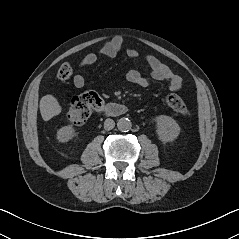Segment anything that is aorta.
Masks as SVG:
<instances>
[{
  "label": "aorta",
  "mask_w": 239,
  "mask_h": 239,
  "mask_svg": "<svg viewBox=\"0 0 239 239\" xmlns=\"http://www.w3.org/2000/svg\"><path fill=\"white\" fill-rule=\"evenodd\" d=\"M117 128L122 132H127L132 128V122L128 118H120L117 122Z\"/></svg>",
  "instance_id": "1"
}]
</instances>
